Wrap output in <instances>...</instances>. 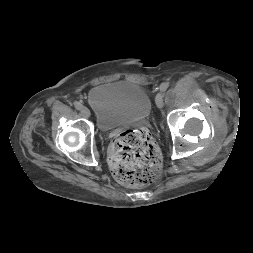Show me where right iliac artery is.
Instances as JSON below:
<instances>
[{"mask_svg":"<svg viewBox=\"0 0 253 253\" xmlns=\"http://www.w3.org/2000/svg\"><path fill=\"white\" fill-rule=\"evenodd\" d=\"M74 106L77 110H81L83 108V105L80 102H74Z\"/></svg>","mask_w":253,"mask_h":253,"instance_id":"right-iliac-artery-1","label":"right iliac artery"}]
</instances>
